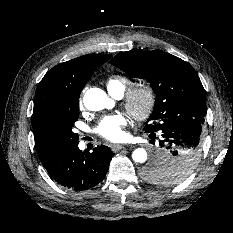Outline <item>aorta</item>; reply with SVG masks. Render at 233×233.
Segmentation results:
<instances>
[{
	"label": "aorta",
	"instance_id": "aorta-1",
	"mask_svg": "<svg viewBox=\"0 0 233 233\" xmlns=\"http://www.w3.org/2000/svg\"><path fill=\"white\" fill-rule=\"evenodd\" d=\"M83 103L85 107L91 111H100L104 108L111 109L114 106L113 100L99 88L88 89L84 95ZM160 154H163L162 157L168 155L167 152H162ZM132 158L135 162L144 163L147 160V151L143 148H137L133 151Z\"/></svg>",
	"mask_w": 233,
	"mask_h": 233
}]
</instances>
